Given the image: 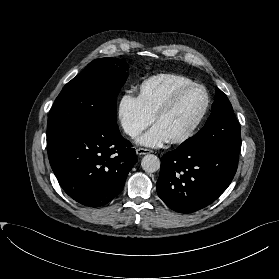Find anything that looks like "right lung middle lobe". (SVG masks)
Segmentation results:
<instances>
[{
    "instance_id": "1",
    "label": "right lung middle lobe",
    "mask_w": 279,
    "mask_h": 279,
    "mask_svg": "<svg viewBox=\"0 0 279 279\" xmlns=\"http://www.w3.org/2000/svg\"><path fill=\"white\" fill-rule=\"evenodd\" d=\"M128 68L124 60L100 58L68 82L51 108L47 143L86 127L117 126L116 101Z\"/></svg>"
}]
</instances>
